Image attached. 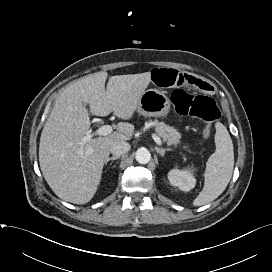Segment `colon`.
<instances>
[{
    "instance_id": "colon-1",
    "label": "colon",
    "mask_w": 272,
    "mask_h": 272,
    "mask_svg": "<svg viewBox=\"0 0 272 272\" xmlns=\"http://www.w3.org/2000/svg\"><path fill=\"white\" fill-rule=\"evenodd\" d=\"M171 100L179 114L201 119L205 123L204 135L211 134L212 123L220 117V111L212 98L190 94L183 89H175L171 94Z\"/></svg>"
}]
</instances>
